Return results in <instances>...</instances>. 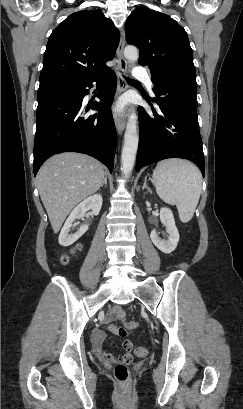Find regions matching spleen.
Here are the masks:
<instances>
[{
    "label": "spleen",
    "instance_id": "obj_1",
    "mask_svg": "<svg viewBox=\"0 0 243 409\" xmlns=\"http://www.w3.org/2000/svg\"><path fill=\"white\" fill-rule=\"evenodd\" d=\"M152 178L158 196L164 202L176 205L183 223L190 221L201 194L199 169L183 159H167L157 164Z\"/></svg>",
    "mask_w": 243,
    "mask_h": 409
}]
</instances>
